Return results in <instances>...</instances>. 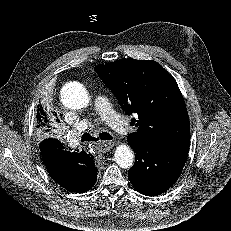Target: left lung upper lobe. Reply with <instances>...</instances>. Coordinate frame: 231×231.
Returning a JSON list of instances; mask_svg holds the SVG:
<instances>
[{
	"label": "left lung upper lobe",
	"instance_id": "obj_1",
	"mask_svg": "<svg viewBox=\"0 0 231 231\" xmlns=\"http://www.w3.org/2000/svg\"><path fill=\"white\" fill-rule=\"evenodd\" d=\"M95 71L117 97L126 114L135 113L137 131L127 140L170 154L187 155L190 123L176 80L152 60L119 59Z\"/></svg>",
	"mask_w": 231,
	"mask_h": 231
}]
</instances>
